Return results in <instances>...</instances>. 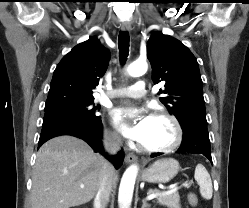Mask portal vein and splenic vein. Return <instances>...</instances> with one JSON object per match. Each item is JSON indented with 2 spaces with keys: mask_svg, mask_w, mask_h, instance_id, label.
I'll return each mask as SVG.
<instances>
[{
  "mask_svg": "<svg viewBox=\"0 0 249 208\" xmlns=\"http://www.w3.org/2000/svg\"><path fill=\"white\" fill-rule=\"evenodd\" d=\"M84 186L81 185V188H83ZM178 189L177 186H174L172 189L168 190V191H165V192H161V193H153V194H150L147 196V200H152L160 195H165V194H172L174 192H176Z\"/></svg>",
  "mask_w": 249,
  "mask_h": 208,
  "instance_id": "18ae733b",
  "label": "portal vein and splenic vein"
}]
</instances>
